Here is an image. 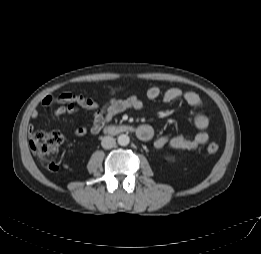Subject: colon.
<instances>
[{
    "label": "colon",
    "instance_id": "5ec220e1",
    "mask_svg": "<svg viewBox=\"0 0 261 254\" xmlns=\"http://www.w3.org/2000/svg\"><path fill=\"white\" fill-rule=\"evenodd\" d=\"M63 140V134L58 131H35L31 135L30 147L49 170L57 171L59 169L57 155ZM218 149L219 147L215 142L207 146V152L211 155L216 154Z\"/></svg>",
    "mask_w": 261,
    "mask_h": 254
}]
</instances>
